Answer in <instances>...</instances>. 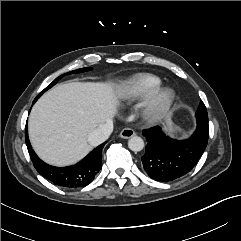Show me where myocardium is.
Here are the masks:
<instances>
[{
	"instance_id": "f54148a6",
	"label": "myocardium",
	"mask_w": 241,
	"mask_h": 241,
	"mask_svg": "<svg viewBox=\"0 0 241 241\" xmlns=\"http://www.w3.org/2000/svg\"><path fill=\"white\" fill-rule=\"evenodd\" d=\"M175 100L176 93L172 88L159 85L145 96L142 112L148 120L158 122L169 114Z\"/></svg>"
}]
</instances>
